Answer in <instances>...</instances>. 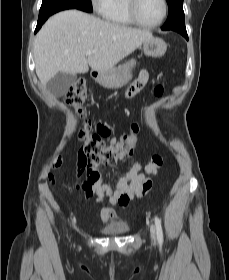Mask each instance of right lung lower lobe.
I'll use <instances>...</instances> for the list:
<instances>
[{
	"label": "right lung lower lobe",
	"instance_id": "right-lung-lower-lobe-1",
	"mask_svg": "<svg viewBox=\"0 0 229 280\" xmlns=\"http://www.w3.org/2000/svg\"><path fill=\"white\" fill-rule=\"evenodd\" d=\"M67 9H79V10L88 12L87 10H85L84 8H82L80 6H76V5H72V4H66V3L65 4H59V5H56L54 7L44 9V10H40L37 26H36V29H35V33L41 28V26L49 18V16H51V15H53V14L59 12V11L67 10Z\"/></svg>",
	"mask_w": 229,
	"mask_h": 280
}]
</instances>
